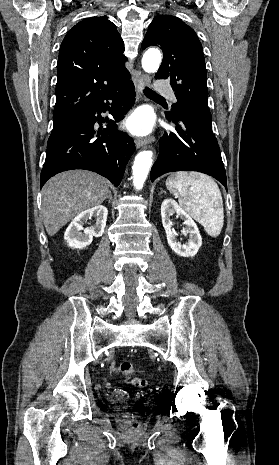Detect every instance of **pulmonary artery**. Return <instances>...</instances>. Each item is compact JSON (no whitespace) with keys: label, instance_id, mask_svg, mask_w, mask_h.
I'll list each match as a JSON object with an SVG mask.
<instances>
[{"label":"pulmonary artery","instance_id":"obj_1","mask_svg":"<svg viewBox=\"0 0 279 465\" xmlns=\"http://www.w3.org/2000/svg\"><path fill=\"white\" fill-rule=\"evenodd\" d=\"M157 91L163 95H166L170 98L171 101L175 102L176 98L171 90V88L165 84L159 83L157 85Z\"/></svg>","mask_w":279,"mask_h":465}]
</instances>
